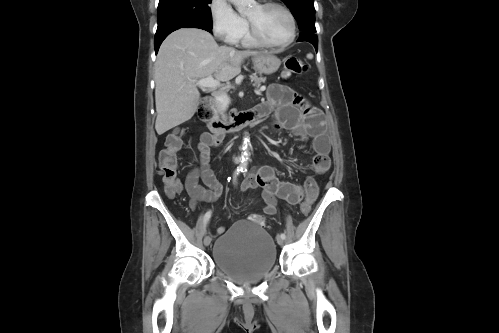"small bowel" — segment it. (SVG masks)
<instances>
[{
	"instance_id": "small-bowel-1",
	"label": "small bowel",
	"mask_w": 499,
	"mask_h": 333,
	"mask_svg": "<svg viewBox=\"0 0 499 333\" xmlns=\"http://www.w3.org/2000/svg\"><path fill=\"white\" fill-rule=\"evenodd\" d=\"M268 100L260 105L268 115L274 112V128L288 129L303 140L312 139L315 152L312 167L317 174L326 173L331 165L329 157L330 141L326 132L325 120L322 112L312 106L303 96L292 88L274 83L267 91ZM223 138L205 133L199 143L200 166L192 168L186 177L185 187L191 197V206L194 208L200 201L214 202L223 193V186L211 170L210 149L220 144ZM202 180L207 188L199 184ZM260 188L262 190L263 212L267 215L276 213L277 200H283L287 206L298 204L304 192L300 185L280 181L270 166H262L254 170L252 176L242 183V190L248 191ZM225 231L221 226L218 233Z\"/></svg>"
}]
</instances>
